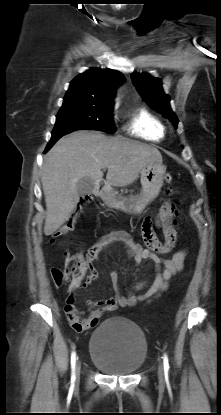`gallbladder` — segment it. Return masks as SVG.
<instances>
[{"instance_id": "gallbladder-1", "label": "gallbladder", "mask_w": 221, "mask_h": 415, "mask_svg": "<svg viewBox=\"0 0 221 415\" xmlns=\"http://www.w3.org/2000/svg\"><path fill=\"white\" fill-rule=\"evenodd\" d=\"M95 187V180L90 177H83L78 180L76 189L79 195L90 193Z\"/></svg>"}]
</instances>
